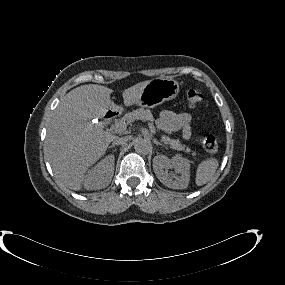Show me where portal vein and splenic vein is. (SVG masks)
<instances>
[{
  "instance_id": "portal-vein-and-splenic-vein-1",
  "label": "portal vein and splenic vein",
  "mask_w": 285,
  "mask_h": 285,
  "mask_svg": "<svg viewBox=\"0 0 285 285\" xmlns=\"http://www.w3.org/2000/svg\"><path fill=\"white\" fill-rule=\"evenodd\" d=\"M127 125L124 123H118L115 125V130L122 132L126 129ZM150 128L153 130L152 126H150Z\"/></svg>"
}]
</instances>
